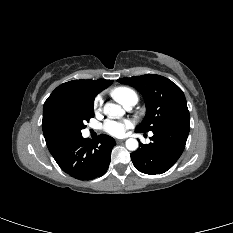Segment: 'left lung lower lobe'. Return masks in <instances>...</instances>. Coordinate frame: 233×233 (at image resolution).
I'll return each mask as SVG.
<instances>
[{
    "label": "left lung lower lobe",
    "mask_w": 233,
    "mask_h": 233,
    "mask_svg": "<svg viewBox=\"0 0 233 233\" xmlns=\"http://www.w3.org/2000/svg\"><path fill=\"white\" fill-rule=\"evenodd\" d=\"M189 130L190 121H184L152 131L154 134L150 138L152 142L142 144L131 153L136 169L149 175L162 174L169 170L181 156Z\"/></svg>",
    "instance_id": "left-lung-lower-lobe-1"
}]
</instances>
